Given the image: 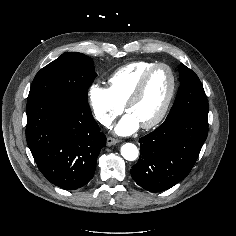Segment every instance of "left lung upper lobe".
<instances>
[{"label":"left lung upper lobe","instance_id":"obj_1","mask_svg":"<svg viewBox=\"0 0 236 236\" xmlns=\"http://www.w3.org/2000/svg\"><path fill=\"white\" fill-rule=\"evenodd\" d=\"M180 87L167 118L182 114L208 116L209 105L198 76L188 67H179Z\"/></svg>","mask_w":236,"mask_h":236}]
</instances>
